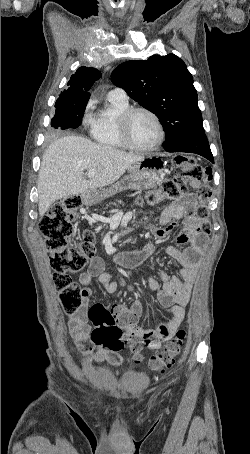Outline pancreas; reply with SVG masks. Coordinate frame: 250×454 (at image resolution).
<instances>
[{"label": "pancreas", "mask_w": 250, "mask_h": 454, "mask_svg": "<svg viewBox=\"0 0 250 454\" xmlns=\"http://www.w3.org/2000/svg\"><path fill=\"white\" fill-rule=\"evenodd\" d=\"M118 203H121V201H118ZM111 204L114 206L116 205V203H111ZM107 208H108V206L105 209H107Z\"/></svg>", "instance_id": "pancreas-1"}]
</instances>
